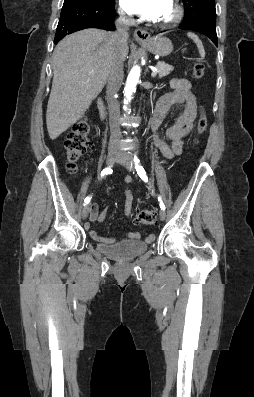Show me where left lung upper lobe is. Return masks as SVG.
Masks as SVG:
<instances>
[{"mask_svg":"<svg viewBox=\"0 0 254 397\" xmlns=\"http://www.w3.org/2000/svg\"><path fill=\"white\" fill-rule=\"evenodd\" d=\"M182 1H183V4L185 5L188 3L189 0H182ZM208 1L215 2V0H208Z\"/></svg>","mask_w":254,"mask_h":397,"instance_id":"1","label":"left lung upper lobe"}]
</instances>
